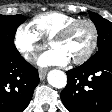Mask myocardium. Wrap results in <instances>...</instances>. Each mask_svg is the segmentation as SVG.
Segmentation results:
<instances>
[{
	"label": "myocardium",
	"instance_id": "1",
	"mask_svg": "<svg viewBox=\"0 0 112 112\" xmlns=\"http://www.w3.org/2000/svg\"><path fill=\"white\" fill-rule=\"evenodd\" d=\"M80 24L89 25L92 32V38H91L90 45L85 51V53L81 57L71 60V62L76 65L85 63L92 56L98 44L99 31L96 24L91 19H88V18L76 19L72 23L63 27L59 32H57L52 37L50 42V45H51L52 42L56 40H64Z\"/></svg>",
	"mask_w": 112,
	"mask_h": 112
}]
</instances>
